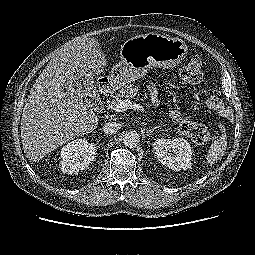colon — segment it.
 Instances as JSON below:
<instances>
[{"label":"colon","mask_w":255,"mask_h":255,"mask_svg":"<svg viewBox=\"0 0 255 255\" xmlns=\"http://www.w3.org/2000/svg\"><path fill=\"white\" fill-rule=\"evenodd\" d=\"M179 76L185 83H200L202 80V59L199 56H193L181 69ZM219 103L220 99L217 96H211L208 101V104L214 107H217ZM172 115L183 135L196 143H206L211 139L210 131L205 126L186 119L179 110H175Z\"/></svg>","instance_id":"colon-1"}]
</instances>
